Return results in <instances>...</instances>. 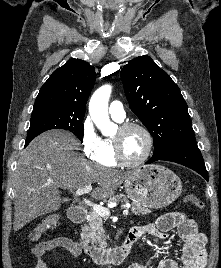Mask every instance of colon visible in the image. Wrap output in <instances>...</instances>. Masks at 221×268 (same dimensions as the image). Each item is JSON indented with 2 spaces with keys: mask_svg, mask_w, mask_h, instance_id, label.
Segmentation results:
<instances>
[{
  "mask_svg": "<svg viewBox=\"0 0 221 268\" xmlns=\"http://www.w3.org/2000/svg\"><path fill=\"white\" fill-rule=\"evenodd\" d=\"M186 203L195 205L198 208L203 207L202 201L195 195H187L184 198ZM59 225V216L56 214H51L46 216L41 223L33 230L30 234V240H37L45 231L56 228Z\"/></svg>",
  "mask_w": 221,
  "mask_h": 268,
  "instance_id": "1",
  "label": "colon"
}]
</instances>
